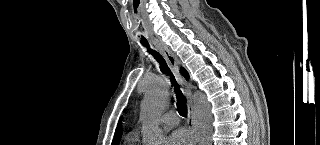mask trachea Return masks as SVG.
Instances as JSON below:
<instances>
[{
	"mask_svg": "<svg viewBox=\"0 0 320 145\" xmlns=\"http://www.w3.org/2000/svg\"><path fill=\"white\" fill-rule=\"evenodd\" d=\"M141 44L147 48V51L154 56V58L158 61L160 65V69L163 73H166L170 76V81L171 84L175 88V93H176V105L179 111V114L183 117H187V105H186V98L182 94L179 85L177 84L174 75L172 74L171 70L166 64L165 59L155 50H152L148 44V41L145 38L141 39Z\"/></svg>",
	"mask_w": 320,
	"mask_h": 145,
	"instance_id": "3493384b",
	"label": "trachea"
}]
</instances>
